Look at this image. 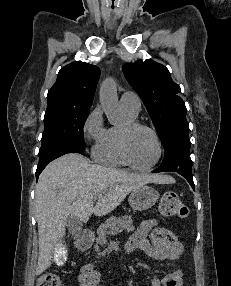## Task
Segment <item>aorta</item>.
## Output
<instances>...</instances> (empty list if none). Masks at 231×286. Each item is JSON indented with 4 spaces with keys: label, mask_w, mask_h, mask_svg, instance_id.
Segmentation results:
<instances>
[{
    "label": "aorta",
    "mask_w": 231,
    "mask_h": 286,
    "mask_svg": "<svg viewBox=\"0 0 231 286\" xmlns=\"http://www.w3.org/2000/svg\"><path fill=\"white\" fill-rule=\"evenodd\" d=\"M99 99L108 122L112 125L119 124L122 121V113L118 103L116 83L114 79L107 78L102 82L100 86Z\"/></svg>",
    "instance_id": "obj_1"
}]
</instances>
